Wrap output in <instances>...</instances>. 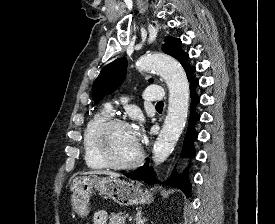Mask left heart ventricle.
Returning a JSON list of instances; mask_svg holds the SVG:
<instances>
[{"instance_id":"left-heart-ventricle-1","label":"left heart ventricle","mask_w":275,"mask_h":224,"mask_svg":"<svg viewBox=\"0 0 275 224\" xmlns=\"http://www.w3.org/2000/svg\"><path fill=\"white\" fill-rule=\"evenodd\" d=\"M111 154L117 162L133 160L139 150V143L135 139L131 127L115 126L108 135Z\"/></svg>"}]
</instances>
